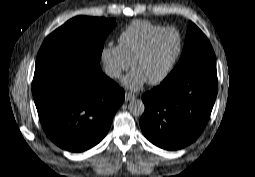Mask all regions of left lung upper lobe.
Segmentation results:
<instances>
[{
    "instance_id": "left-lung-upper-lobe-1",
    "label": "left lung upper lobe",
    "mask_w": 255,
    "mask_h": 177,
    "mask_svg": "<svg viewBox=\"0 0 255 177\" xmlns=\"http://www.w3.org/2000/svg\"><path fill=\"white\" fill-rule=\"evenodd\" d=\"M212 66H216V62L215 54L209 40L194 23L189 21L181 58L163 82L178 78L197 68Z\"/></svg>"
}]
</instances>
